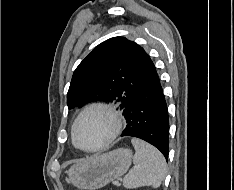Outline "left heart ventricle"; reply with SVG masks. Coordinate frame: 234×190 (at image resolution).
<instances>
[{"label":"left heart ventricle","mask_w":234,"mask_h":190,"mask_svg":"<svg viewBox=\"0 0 234 190\" xmlns=\"http://www.w3.org/2000/svg\"><path fill=\"white\" fill-rule=\"evenodd\" d=\"M111 129L110 118L101 111H93L81 120L77 130V140L83 147L91 148L104 141Z\"/></svg>","instance_id":"obj_1"}]
</instances>
